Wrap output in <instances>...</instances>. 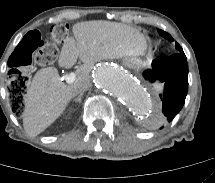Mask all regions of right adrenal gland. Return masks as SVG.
<instances>
[{"mask_svg": "<svg viewBox=\"0 0 215 183\" xmlns=\"http://www.w3.org/2000/svg\"><path fill=\"white\" fill-rule=\"evenodd\" d=\"M83 94H84V93H81V94H79L78 97H76V98L74 97V98H73V101L81 103V99H82Z\"/></svg>", "mask_w": 215, "mask_h": 183, "instance_id": "obj_1", "label": "right adrenal gland"}]
</instances>
